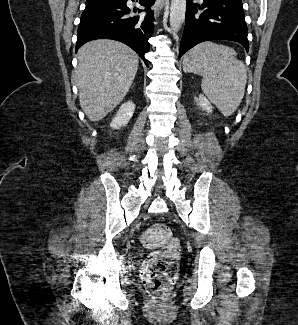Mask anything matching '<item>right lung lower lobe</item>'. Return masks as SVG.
<instances>
[{
    "label": "right lung lower lobe",
    "mask_w": 298,
    "mask_h": 325,
    "mask_svg": "<svg viewBox=\"0 0 298 325\" xmlns=\"http://www.w3.org/2000/svg\"><path fill=\"white\" fill-rule=\"evenodd\" d=\"M128 0H114L105 3L87 4L78 27L76 50L94 39H113L131 47L148 65L144 54L150 50L149 38L154 32V16L151 6L155 0H140L145 15L133 16L126 6ZM134 1V0H132ZM138 1V0H136Z\"/></svg>",
    "instance_id": "obj_1"
}]
</instances>
